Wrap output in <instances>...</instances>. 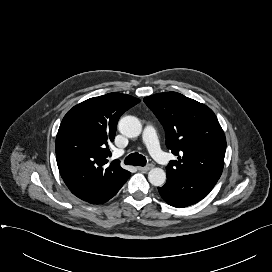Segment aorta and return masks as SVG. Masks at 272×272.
<instances>
[{
    "label": "aorta",
    "instance_id": "1",
    "mask_svg": "<svg viewBox=\"0 0 272 272\" xmlns=\"http://www.w3.org/2000/svg\"><path fill=\"white\" fill-rule=\"evenodd\" d=\"M120 133L126 137L134 138L140 135L142 125L134 116H124L118 123ZM148 180L154 186H162L166 181V173L161 168H153L148 173Z\"/></svg>",
    "mask_w": 272,
    "mask_h": 272
}]
</instances>
